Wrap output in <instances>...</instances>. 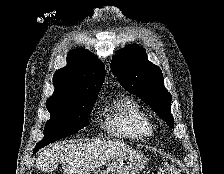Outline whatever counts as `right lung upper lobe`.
<instances>
[{"mask_svg": "<svg viewBox=\"0 0 224 174\" xmlns=\"http://www.w3.org/2000/svg\"><path fill=\"white\" fill-rule=\"evenodd\" d=\"M105 79V66L91 52L75 49L67 55V66L53 76L55 91L47 102H70L96 97Z\"/></svg>", "mask_w": 224, "mask_h": 174, "instance_id": "obj_1", "label": "right lung upper lobe"}]
</instances>
